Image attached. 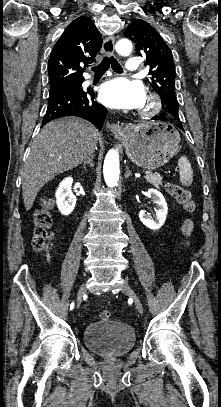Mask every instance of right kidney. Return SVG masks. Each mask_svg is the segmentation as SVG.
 Masks as SVG:
<instances>
[{"label": "right kidney", "instance_id": "1", "mask_svg": "<svg viewBox=\"0 0 221 407\" xmlns=\"http://www.w3.org/2000/svg\"><path fill=\"white\" fill-rule=\"evenodd\" d=\"M72 177H66L56 190V204L61 214L67 216L72 213L76 205V196L72 193Z\"/></svg>", "mask_w": 221, "mask_h": 407}]
</instances>
